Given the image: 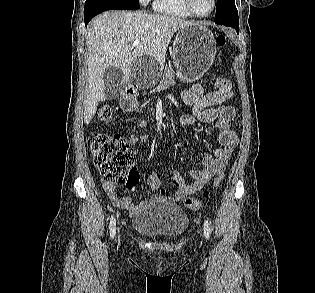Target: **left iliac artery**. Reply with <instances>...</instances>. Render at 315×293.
Returning <instances> with one entry per match:
<instances>
[{
	"mask_svg": "<svg viewBox=\"0 0 315 293\" xmlns=\"http://www.w3.org/2000/svg\"><path fill=\"white\" fill-rule=\"evenodd\" d=\"M211 232V223L208 220L204 222V236L206 239H209Z\"/></svg>",
	"mask_w": 315,
	"mask_h": 293,
	"instance_id": "44dca946",
	"label": "left iliac artery"
}]
</instances>
